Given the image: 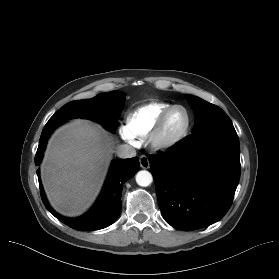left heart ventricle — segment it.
Instances as JSON below:
<instances>
[{
    "mask_svg": "<svg viewBox=\"0 0 279 279\" xmlns=\"http://www.w3.org/2000/svg\"><path fill=\"white\" fill-rule=\"evenodd\" d=\"M186 122L185 113L181 109L172 111L166 119L163 136L165 138L175 137L184 127Z\"/></svg>",
    "mask_w": 279,
    "mask_h": 279,
    "instance_id": "b2bd125f",
    "label": "left heart ventricle"
}]
</instances>
